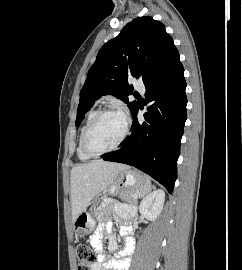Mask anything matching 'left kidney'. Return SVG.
<instances>
[{"instance_id":"left-kidney-1","label":"left kidney","mask_w":242,"mask_h":270,"mask_svg":"<svg viewBox=\"0 0 242 270\" xmlns=\"http://www.w3.org/2000/svg\"><path fill=\"white\" fill-rule=\"evenodd\" d=\"M165 201V192L157 189L148 194L140 203V214L150 221H154L161 213Z\"/></svg>"}]
</instances>
